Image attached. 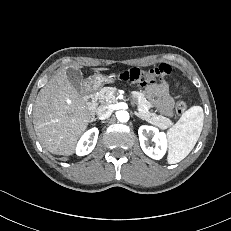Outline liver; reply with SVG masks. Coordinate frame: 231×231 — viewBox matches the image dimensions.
Segmentation results:
<instances>
[{
	"label": "liver",
	"mask_w": 231,
	"mask_h": 231,
	"mask_svg": "<svg viewBox=\"0 0 231 231\" xmlns=\"http://www.w3.org/2000/svg\"><path fill=\"white\" fill-rule=\"evenodd\" d=\"M59 70L39 91L33 107V124L41 144L52 154L70 156L88 124L94 120L85 99L67 78V69ZM108 68H94V71Z\"/></svg>",
	"instance_id": "obj_1"
}]
</instances>
